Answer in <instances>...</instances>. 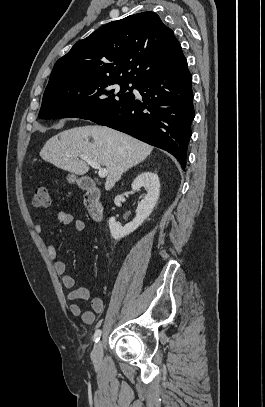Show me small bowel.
<instances>
[{
  "label": "small bowel",
  "mask_w": 265,
  "mask_h": 407,
  "mask_svg": "<svg viewBox=\"0 0 265 407\" xmlns=\"http://www.w3.org/2000/svg\"><path fill=\"white\" fill-rule=\"evenodd\" d=\"M61 226H73L75 230L82 231L86 225L83 219L77 218L71 213L59 211L56 221L47 228L46 233L50 234ZM34 230L38 233L42 231L40 222L34 224ZM46 251L49 258L53 260L55 272L61 276L63 286L69 290L67 295L68 300L73 302L89 300V289L86 287H77L74 276L66 273V264L61 260H57L56 247L52 243H47ZM91 306V311H84L80 304L74 302L70 305V312L73 316L80 317L85 324L92 325L95 323L96 315L104 311L105 303L101 298L97 297L91 300Z\"/></svg>",
  "instance_id": "small-bowel-1"
}]
</instances>
